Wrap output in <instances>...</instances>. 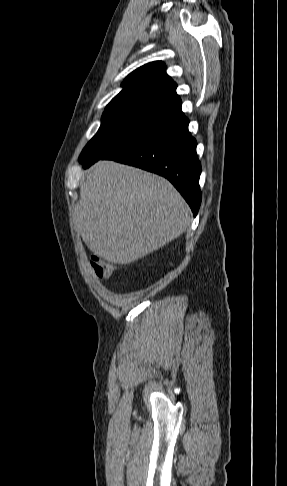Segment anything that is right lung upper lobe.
Returning <instances> with one entry per match:
<instances>
[{
  "label": "right lung upper lobe",
  "mask_w": 287,
  "mask_h": 486,
  "mask_svg": "<svg viewBox=\"0 0 287 486\" xmlns=\"http://www.w3.org/2000/svg\"><path fill=\"white\" fill-rule=\"evenodd\" d=\"M165 64L154 61L133 71L122 83L123 90L107 106L145 105L171 111L181 110L177 84L166 74Z\"/></svg>",
  "instance_id": "right-lung-upper-lobe-1"
}]
</instances>
